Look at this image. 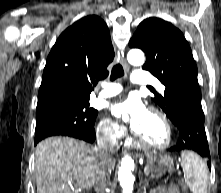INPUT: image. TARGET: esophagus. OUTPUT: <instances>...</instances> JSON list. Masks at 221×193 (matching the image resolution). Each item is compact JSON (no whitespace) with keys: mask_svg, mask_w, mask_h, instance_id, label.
Listing matches in <instances>:
<instances>
[{"mask_svg":"<svg viewBox=\"0 0 221 193\" xmlns=\"http://www.w3.org/2000/svg\"><path fill=\"white\" fill-rule=\"evenodd\" d=\"M120 62L125 69H129V64L127 63L126 59L123 56L121 57Z\"/></svg>","mask_w":221,"mask_h":193,"instance_id":"obj_1","label":"esophagus"}]
</instances>
